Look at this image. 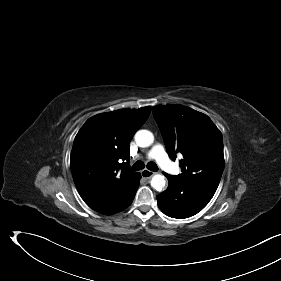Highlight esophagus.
<instances>
[{
	"instance_id": "obj_1",
	"label": "esophagus",
	"mask_w": 281,
	"mask_h": 281,
	"mask_svg": "<svg viewBox=\"0 0 281 281\" xmlns=\"http://www.w3.org/2000/svg\"><path fill=\"white\" fill-rule=\"evenodd\" d=\"M154 174H155V172L150 171L148 169H144L141 171V176L146 179L151 178Z\"/></svg>"
}]
</instances>
